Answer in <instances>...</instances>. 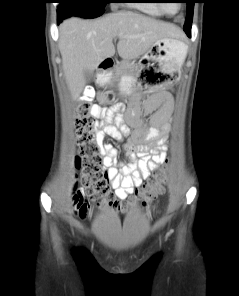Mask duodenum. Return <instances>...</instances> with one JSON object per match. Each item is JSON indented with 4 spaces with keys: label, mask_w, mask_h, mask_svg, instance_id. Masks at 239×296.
I'll list each match as a JSON object with an SVG mask.
<instances>
[{
    "label": "duodenum",
    "mask_w": 239,
    "mask_h": 296,
    "mask_svg": "<svg viewBox=\"0 0 239 296\" xmlns=\"http://www.w3.org/2000/svg\"><path fill=\"white\" fill-rule=\"evenodd\" d=\"M113 67H114V60L112 58H104L99 65V68L103 72H109L113 69Z\"/></svg>",
    "instance_id": "duodenum-1"
}]
</instances>
